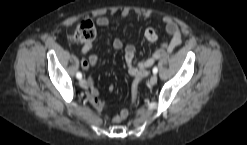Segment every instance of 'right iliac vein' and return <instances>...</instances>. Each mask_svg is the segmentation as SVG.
I'll return each mask as SVG.
<instances>
[{
	"label": "right iliac vein",
	"mask_w": 247,
	"mask_h": 145,
	"mask_svg": "<svg viewBox=\"0 0 247 145\" xmlns=\"http://www.w3.org/2000/svg\"><path fill=\"white\" fill-rule=\"evenodd\" d=\"M79 85L82 87V88H86L87 87V81L85 79H81L79 81Z\"/></svg>",
	"instance_id": "1"
}]
</instances>
